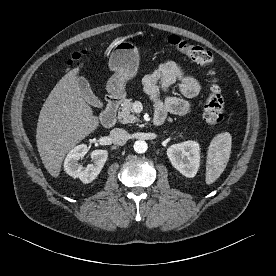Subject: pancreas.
Segmentation results:
<instances>
[{"label":"pancreas","instance_id":"obj_1","mask_svg":"<svg viewBox=\"0 0 276 276\" xmlns=\"http://www.w3.org/2000/svg\"><path fill=\"white\" fill-rule=\"evenodd\" d=\"M132 105L133 103L131 99H124L122 101V107L118 112V119L121 123L133 124L139 120L137 115L134 113Z\"/></svg>","mask_w":276,"mask_h":276}]
</instances>
